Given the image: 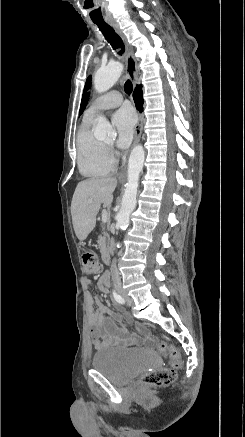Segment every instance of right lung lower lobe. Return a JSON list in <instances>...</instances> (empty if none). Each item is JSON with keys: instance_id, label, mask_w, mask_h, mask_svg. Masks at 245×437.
<instances>
[{"instance_id": "98d812e1", "label": "right lung lower lobe", "mask_w": 245, "mask_h": 437, "mask_svg": "<svg viewBox=\"0 0 245 437\" xmlns=\"http://www.w3.org/2000/svg\"><path fill=\"white\" fill-rule=\"evenodd\" d=\"M133 98H134L135 105H136L137 109L140 112H142L144 101H143V97H142V88L140 85L136 86L134 93H133Z\"/></svg>"}]
</instances>
